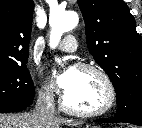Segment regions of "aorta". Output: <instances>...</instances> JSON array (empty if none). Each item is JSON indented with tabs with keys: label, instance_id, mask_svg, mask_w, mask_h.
<instances>
[{
	"label": "aorta",
	"instance_id": "aorta-1",
	"mask_svg": "<svg viewBox=\"0 0 142 128\" xmlns=\"http://www.w3.org/2000/svg\"><path fill=\"white\" fill-rule=\"evenodd\" d=\"M78 21V14L74 11H58L52 13L49 18L51 26L50 47L55 48L61 40L62 35L74 29ZM58 62H60V60H58Z\"/></svg>",
	"mask_w": 142,
	"mask_h": 128
}]
</instances>
